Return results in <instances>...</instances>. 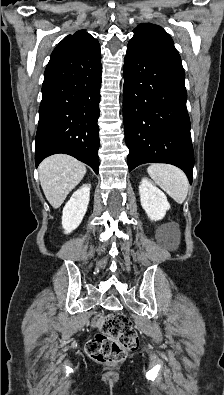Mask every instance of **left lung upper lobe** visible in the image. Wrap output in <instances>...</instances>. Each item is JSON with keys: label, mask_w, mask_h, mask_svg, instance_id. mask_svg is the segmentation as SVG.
I'll use <instances>...</instances> for the list:
<instances>
[{"label": "left lung upper lobe", "mask_w": 224, "mask_h": 395, "mask_svg": "<svg viewBox=\"0 0 224 395\" xmlns=\"http://www.w3.org/2000/svg\"><path fill=\"white\" fill-rule=\"evenodd\" d=\"M128 45L148 50L181 62L180 55L170 35L160 26L142 23L134 29Z\"/></svg>", "instance_id": "left-lung-upper-lobe-1"}]
</instances>
